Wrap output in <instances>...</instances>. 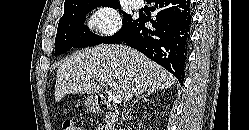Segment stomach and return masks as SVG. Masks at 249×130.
<instances>
[{"label": "stomach", "instance_id": "obj_1", "mask_svg": "<svg viewBox=\"0 0 249 130\" xmlns=\"http://www.w3.org/2000/svg\"><path fill=\"white\" fill-rule=\"evenodd\" d=\"M85 106L90 112H96L99 108L97 97L89 96L85 99Z\"/></svg>", "mask_w": 249, "mask_h": 130}]
</instances>
